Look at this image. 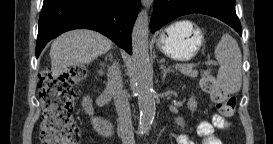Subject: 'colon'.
<instances>
[{
  "label": "colon",
  "mask_w": 273,
  "mask_h": 144,
  "mask_svg": "<svg viewBox=\"0 0 273 144\" xmlns=\"http://www.w3.org/2000/svg\"><path fill=\"white\" fill-rule=\"evenodd\" d=\"M86 76L85 69L74 67L55 77L50 72H43L38 81V96L44 113L40 139L42 144H77L80 138L78 126L74 123L73 86ZM202 89L215 103L218 112L230 118L236 108V98L224 92L215 77L204 69L201 80Z\"/></svg>",
  "instance_id": "colon-1"
}]
</instances>
